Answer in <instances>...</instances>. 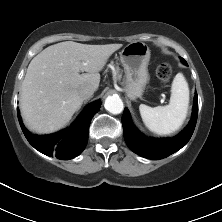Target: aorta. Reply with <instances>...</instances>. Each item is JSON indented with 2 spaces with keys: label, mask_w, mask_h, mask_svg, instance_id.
<instances>
[{
  "label": "aorta",
  "mask_w": 222,
  "mask_h": 222,
  "mask_svg": "<svg viewBox=\"0 0 222 222\" xmlns=\"http://www.w3.org/2000/svg\"><path fill=\"white\" fill-rule=\"evenodd\" d=\"M104 107L112 114H120L124 109V104L119 96L113 95L106 98Z\"/></svg>",
  "instance_id": "762f6f07"
}]
</instances>
